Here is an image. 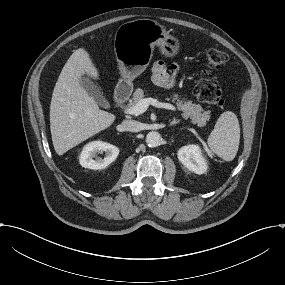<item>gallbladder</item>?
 Instances as JSON below:
<instances>
[{"label":"gallbladder","mask_w":285,"mask_h":285,"mask_svg":"<svg viewBox=\"0 0 285 285\" xmlns=\"http://www.w3.org/2000/svg\"><path fill=\"white\" fill-rule=\"evenodd\" d=\"M81 85L100 107L104 109L110 108V103L103 96L99 87L90 78L82 77Z\"/></svg>","instance_id":"bac80fb5"}]
</instances>
